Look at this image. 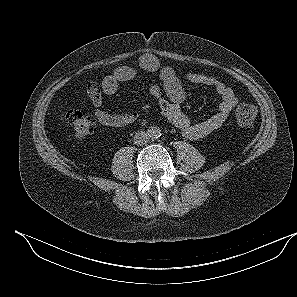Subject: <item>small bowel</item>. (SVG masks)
I'll list each match as a JSON object with an SVG mask.
<instances>
[{
  "mask_svg": "<svg viewBox=\"0 0 297 297\" xmlns=\"http://www.w3.org/2000/svg\"><path fill=\"white\" fill-rule=\"evenodd\" d=\"M140 70L159 74L167 98L164 97L162 89L158 85L151 86L149 92L156 99L163 117L189 140L202 139L220 128L228 120L232 109L238 102L234 91L219 79L193 72L187 73L184 78H181L174 68L161 66L155 56L143 54L139 58L138 67H118L106 76L100 85L96 83L88 85L87 92L94 106V115L101 124L110 127H124L138 120L139 116L136 112L112 114L105 111L103 95L115 94L121 83L134 80ZM187 83L211 87L220 97L217 111L198 123H193L182 110V104L187 94Z\"/></svg>",
  "mask_w": 297,
  "mask_h": 297,
  "instance_id": "c3829d8e",
  "label": "small bowel"
}]
</instances>
